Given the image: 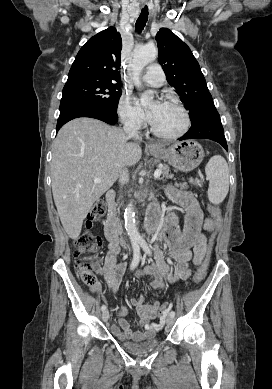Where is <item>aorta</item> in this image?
Wrapping results in <instances>:
<instances>
[{
	"label": "aorta",
	"instance_id": "aorta-1",
	"mask_svg": "<svg viewBox=\"0 0 272 389\" xmlns=\"http://www.w3.org/2000/svg\"><path fill=\"white\" fill-rule=\"evenodd\" d=\"M158 50L154 45H145L136 47L134 49L133 60L131 63V68L133 71V81L137 88L141 86L140 74L143 68L154 61L157 58ZM153 99L151 95L142 94L141 102H149ZM124 220H125V229L130 240L134 243H139L143 239L137 229L136 219H135V211L132 203H129L125 208L124 212Z\"/></svg>",
	"mask_w": 272,
	"mask_h": 389
}]
</instances>
